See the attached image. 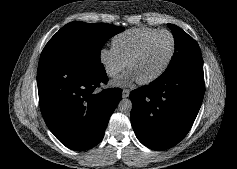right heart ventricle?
<instances>
[{"instance_id":"1","label":"right heart ventricle","mask_w":237,"mask_h":169,"mask_svg":"<svg viewBox=\"0 0 237 169\" xmlns=\"http://www.w3.org/2000/svg\"><path fill=\"white\" fill-rule=\"evenodd\" d=\"M154 28H133L116 35L112 40V48L127 62L141 43L157 32Z\"/></svg>"}]
</instances>
